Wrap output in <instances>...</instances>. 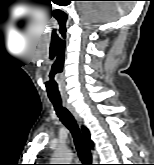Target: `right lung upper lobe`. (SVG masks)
<instances>
[{"instance_id": "cb5924a9", "label": "right lung upper lobe", "mask_w": 154, "mask_h": 165, "mask_svg": "<svg viewBox=\"0 0 154 165\" xmlns=\"http://www.w3.org/2000/svg\"><path fill=\"white\" fill-rule=\"evenodd\" d=\"M82 133H83V136H84V139H85L86 143H87L90 147H92V146H93V142H92V140L90 139V133H89L88 129L85 128V127H82Z\"/></svg>"}]
</instances>
